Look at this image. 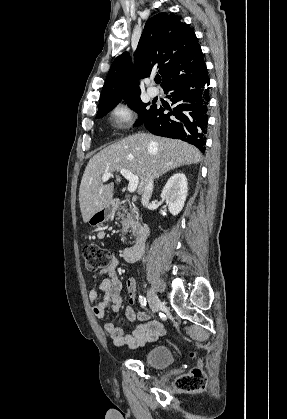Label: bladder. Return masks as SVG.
I'll list each match as a JSON object with an SVG mask.
<instances>
[{
  "label": "bladder",
  "instance_id": "31cf9c89",
  "mask_svg": "<svg viewBox=\"0 0 287 419\" xmlns=\"http://www.w3.org/2000/svg\"><path fill=\"white\" fill-rule=\"evenodd\" d=\"M144 361L153 367L164 368L172 363L173 354L167 346H156L146 352Z\"/></svg>",
  "mask_w": 287,
  "mask_h": 419
}]
</instances>
